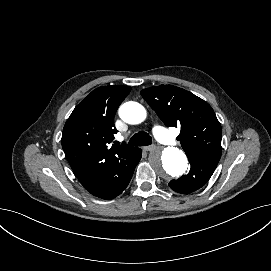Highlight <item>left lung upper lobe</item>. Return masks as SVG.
Wrapping results in <instances>:
<instances>
[{"label":"left lung upper lobe","mask_w":271,"mask_h":271,"mask_svg":"<svg viewBox=\"0 0 271 271\" xmlns=\"http://www.w3.org/2000/svg\"><path fill=\"white\" fill-rule=\"evenodd\" d=\"M141 95L166 126L181 128L177 140L188 158L220 160L222 128L207 102L173 85L143 89Z\"/></svg>","instance_id":"1"}]
</instances>
